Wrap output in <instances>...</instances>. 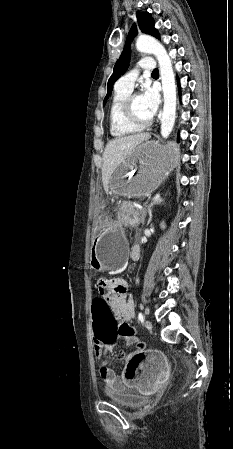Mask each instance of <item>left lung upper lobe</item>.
I'll return each instance as SVG.
<instances>
[{
	"label": "left lung upper lobe",
	"mask_w": 233,
	"mask_h": 449,
	"mask_svg": "<svg viewBox=\"0 0 233 449\" xmlns=\"http://www.w3.org/2000/svg\"><path fill=\"white\" fill-rule=\"evenodd\" d=\"M137 23L138 26L140 28V30L144 33L150 34L158 39H160V35L158 30L155 28L154 26V20L151 16L150 13L148 12H140L137 14ZM138 33L137 31V27L136 24H134L127 36V40H126V44L124 47V50L120 56V58L117 60L114 69H113V73L110 76L109 80H108V84H107V95L104 98V102L103 105L106 104L107 99L109 98V96L112 93V89H113V85L115 83V81L120 78L121 75H123L128 66H129V62H130V42L133 40V38L135 37V35Z\"/></svg>",
	"instance_id": "5c2ea615"
}]
</instances>
